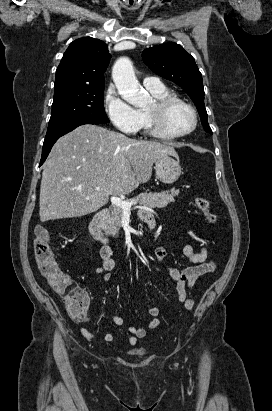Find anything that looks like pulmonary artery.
Segmentation results:
<instances>
[{"instance_id":"pulmonary-artery-1","label":"pulmonary artery","mask_w":272,"mask_h":411,"mask_svg":"<svg viewBox=\"0 0 272 411\" xmlns=\"http://www.w3.org/2000/svg\"><path fill=\"white\" fill-rule=\"evenodd\" d=\"M144 85L147 88H161L163 87L162 83L157 77H146L143 80Z\"/></svg>"}]
</instances>
